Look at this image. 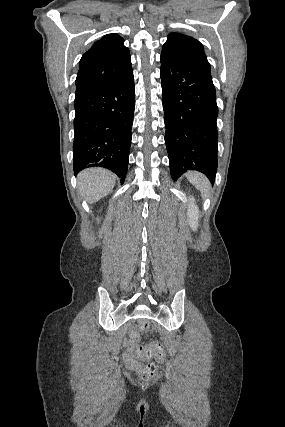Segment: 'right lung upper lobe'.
I'll use <instances>...</instances> for the list:
<instances>
[{"instance_id": "obj_1", "label": "right lung upper lobe", "mask_w": 285, "mask_h": 427, "mask_svg": "<svg viewBox=\"0 0 285 427\" xmlns=\"http://www.w3.org/2000/svg\"><path fill=\"white\" fill-rule=\"evenodd\" d=\"M117 34H107L81 58L76 92L118 81L132 72L130 53Z\"/></svg>"}]
</instances>
